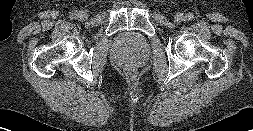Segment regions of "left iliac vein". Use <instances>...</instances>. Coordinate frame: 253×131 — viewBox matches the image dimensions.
Instances as JSON below:
<instances>
[{
	"label": "left iliac vein",
	"mask_w": 253,
	"mask_h": 131,
	"mask_svg": "<svg viewBox=\"0 0 253 131\" xmlns=\"http://www.w3.org/2000/svg\"><path fill=\"white\" fill-rule=\"evenodd\" d=\"M185 19H186V16H185L184 14H182V13H179V14H177V15L174 17V20H175V22H177V23H181V22H183Z\"/></svg>",
	"instance_id": "4c4485c4"
}]
</instances>
